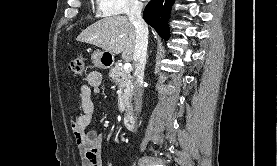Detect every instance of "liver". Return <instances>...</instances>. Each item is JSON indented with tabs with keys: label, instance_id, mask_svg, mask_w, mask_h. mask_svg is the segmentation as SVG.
Instances as JSON below:
<instances>
[{
	"label": "liver",
	"instance_id": "6515ba94",
	"mask_svg": "<svg viewBox=\"0 0 277 166\" xmlns=\"http://www.w3.org/2000/svg\"><path fill=\"white\" fill-rule=\"evenodd\" d=\"M77 41L92 44L111 54L122 53L126 61L133 60L136 30L126 16L103 18L83 30Z\"/></svg>",
	"mask_w": 277,
	"mask_h": 166
}]
</instances>
